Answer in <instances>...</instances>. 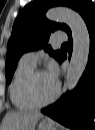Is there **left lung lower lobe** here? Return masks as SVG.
<instances>
[{
    "label": "left lung lower lobe",
    "instance_id": "0a47b994",
    "mask_svg": "<svg viewBox=\"0 0 95 130\" xmlns=\"http://www.w3.org/2000/svg\"><path fill=\"white\" fill-rule=\"evenodd\" d=\"M90 35V54L88 65L77 85L64 94L53 105L42 109V113L60 122L64 126L78 130H87L93 124L95 94V11L84 18ZM69 35L72 52V40ZM66 56L61 52L57 60L61 63Z\"/></svg>",
    "mask_w": 95,
    "mask_h": 130
}]
</instances>
